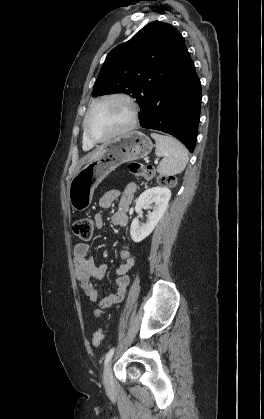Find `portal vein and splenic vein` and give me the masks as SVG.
<instances>
[{
    "label": "portal vein and splenic vein",
    "instance_id": "18ae733b",
    "mask_svg": "<svg viewBox=\"0 0 264 419\" xmlns=\"http://www.w3.org/2000/svg\"><path fill=\"white\" fill-rule=\"evenodd\" d=\"M158 163V160H155V164H157Z\"/></svg>",
    "mask_w": 264,
    "mask_h": 419
}]
</instances>
